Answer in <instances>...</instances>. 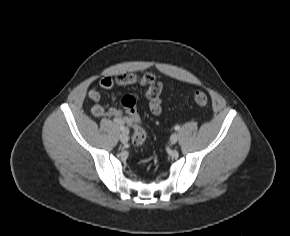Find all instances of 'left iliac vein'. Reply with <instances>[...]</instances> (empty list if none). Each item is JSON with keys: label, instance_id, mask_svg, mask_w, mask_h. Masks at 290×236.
Masks as SVG:
<instances>
[{"label": "left iliac vein", "instance_id": "obj_1", "mask_svg": "<svg viewBox=\"0 0 290 236\" xmlns=\"http://www.w3.org/2000/svg\"><path fill=\"white\" fill-rule=\"evenodd\" d=\"M179 139V135L177 133H173L170 137V143L175 144Z\"/></svg>", "mask_w": 290, "mask_h": 236}]
</instances>
